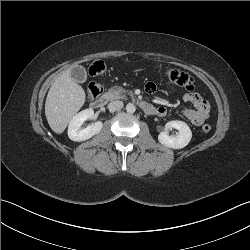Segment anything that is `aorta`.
<instances>
[{"label":"aorta","instance_id":"obj_1","mask_svg":"<svg viewBox=\"0 0 250 250\" xmlns=\"http://www.w3.org/2000/svg\"><path fill=\"white\" fill-rule=\"evenodd\" d=\"M126 111L128 112V113H134L135 111H136V107H135V105L133 104V103H128L127 105H126Z\"/></svg>","mask_w":250,"mask_h":250}]
</instances>
